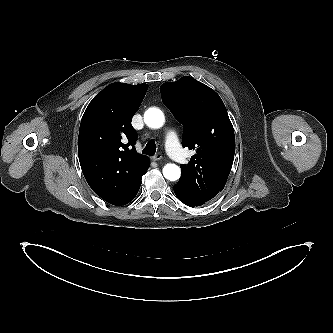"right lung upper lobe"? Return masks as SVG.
<instances>
[{"label":"right lung upper lobe","mask_w":333,"mask_h":333,"mask_svg":"<svg viewBox=\"0 0 333 333\" xmlns=\"http://www.w3.org/2000/svg\"><path fill=\"white\" fill-rule=\"evenodd\" d=\"M147 89V84H110L81 120L78 155L84 177L99 197L116 206L134 199L150 164L134 147L137 133L131 125Z\"/></svg>","instance_id":"1"}]
</instances>
